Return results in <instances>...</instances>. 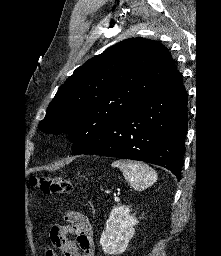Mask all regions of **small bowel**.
I'll return each instance as SVG.
<instances>
[{"instance_id": "small-bowel-1", "label": "small bowel", "mask_w": 221, "mask_h": 256, "mask_svg": "<svg viewBox=\"0 0 221 256\" xmlns=\"http://www.w3.org/2000/svg\"><path fill=\"white\" fill-rule=\"evenodd\" d=\"M66 226H53L50 241L53 248L46 249V256H58L55 249L64 256H94L93 230L88 217L82 213L70 211L65 215ZM73 233L76 240H70L66 234Z\"/></svg>"}]
</instances>
